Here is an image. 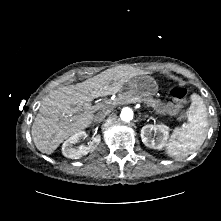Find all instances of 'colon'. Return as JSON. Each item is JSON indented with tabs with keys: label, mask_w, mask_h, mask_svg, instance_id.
<instances>
[{
	"label": "colon",
	"mask_w": 221,
	"mask_h": 221,
	"mask_svg": "<svg viewBox=\"0 0 221 221\" xmlns=\"http://www.w3.org/2000/svg\"><path fill=\"white\" fill-rule=\"evenodd\" d=\"M169 95L175 101L185 102L187 90L183 87L176 86L171 88V90L169 91Z\"/></svg>",
	"instance_id": "obj_1"
}]
</instances>
